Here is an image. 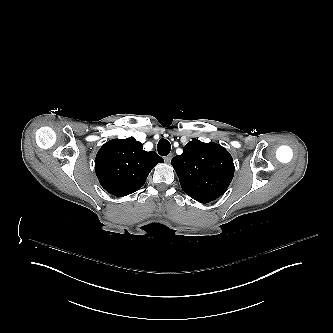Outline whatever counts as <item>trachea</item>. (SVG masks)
Instances as JSON below:
<instances>
[{"label":"trachea","instance_id":"1","mask_svg":"<svg viewBox=\"0 0 333 333\" xmlns=\"http://www.w3.org/2000/svg\"><path fill=\"white\" fill-rule=\"evenodd\" d=\"M157 149H158V153L161 155V156H166L170 153V150H171V145L169 143L168 140L162 138L159 142H158V146H157Z\"/></svg>","mask_w":333,"mask_h":333}]
</instances>
